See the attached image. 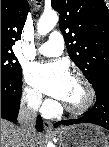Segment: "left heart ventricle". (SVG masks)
Wrapping results in <instances>:
<instances>
[{
  "label": "left heart ventricle",
  "mask_w": 109,
  "mask_h": 147,
  "mask_svg": "<svg viewBox=\"0 0 109 147\" xmlns=\"http://www.w3.org/2000/svg\"><path fill=\"white\" fill-rule=\"evenodd\" d=\"M88 98V91L84 84L75 78H70L63 101L71 107L83 105Z\"/></svg>",
  "instance_id": "1"
}]
</instances>
